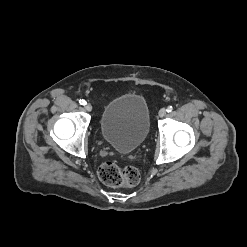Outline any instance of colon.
Listing matches in <instances>:
<instances>
[{
  "label": "colon",
  "instance_id": "1",
  "mask_svg": "<svg viewBox=\"0 0 247 247\" xmlns=\"http://www.w3.org/2000/svg\"><path fill=\"white\" fill-rule=\"evenodd\" d=\"M98 174L100 180L110 187H133L140 181L139 171L135 167L121 168L114 162H104Z\"/></svg>",
  "mask_w": 247,
  "mask_h": 247
}]
</instances>
